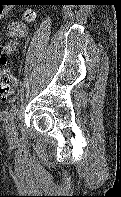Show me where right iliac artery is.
<instances>
[{
  "label": "right iliac artery",
  "mask_w": 121,
  "mask_h": 197,
  "mask_svg": "<svg viewBox=\"0 0 121 197\" xmlns=\"http://www.w3.org/2000/svg\"><path fill=\"white\" fill-rule=\"evenodd\" d=\"M16 113H17V108H16V106H13L8 114V118L10 121H12L14 119Z\"/></svg>",
  "instance_id": "right-iliac-artery-1"
}]
</instances>
